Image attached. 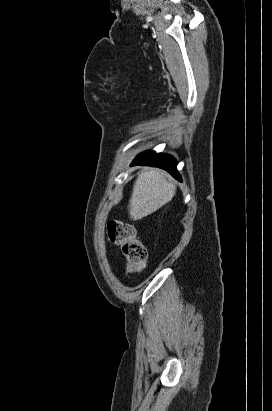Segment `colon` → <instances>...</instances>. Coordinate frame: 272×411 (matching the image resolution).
<instances>
[{
	"label": "colon",
	"instance_id": "1",
	"mask_svg": "<svg viewBox=\"0 0 272 411\" xmlns=\"http://www.w3.org/2000/svg\"><path fill=\"white\" fill-rule=\"evenodd\" d=\"M108 236L111 242L121 246L127 260V270L132 274L143 271L146 265V249L137 238L135 227L122 221L108 223Z\"/></svg>",
	"mask_w": 272,
	"mask_h": 411
}]
</instances>
